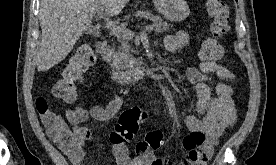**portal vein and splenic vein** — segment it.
Returning <instances> with one entry per match:
<instances>
[{
	"instance_id": "portal-vein-and-splenic-vein-1",
	"label": "portal vein and splenic vein",
	"mask_w": 276,
	"mask_h": 165,
	"mask_svg": "<svg viewBox=\"0 0 276 165\" xmlns=\"http://www.w3.org/2000/svg\"><path fill=\"white\" fill-rule=\"evenodd\" d=\"M102 12L103 9H99L96 13H97V18H100L102 16ZM106 27L115 35L117 36H123V37H127V38H133L134 37V33L128 29H126L125 27L122 26H116L114 24L108 23L106 24ZM153 30V26L148 25L144 28V32H150Z\"/></svg>"
}]
</instances>
